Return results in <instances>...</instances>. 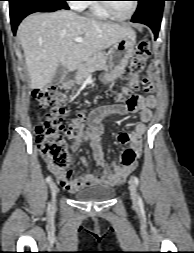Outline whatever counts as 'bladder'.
<instances>
[{
	"label": "bladder",
	"mask_w": 194,
	"mask_h": 253,
	"mask_svg": "<svg viewBox=\"0 0 194 253\" xmlns=\"http://www.w3.org/2000/svg\"><path fill=\"white\" fill-rule=\"evenodd\" d=\"M115 192L109 185H92L77 191L74 198L80 202H103L112 199Z\"/></svg>",
	"instance_id": "bladder-1"
}]
</instances>
